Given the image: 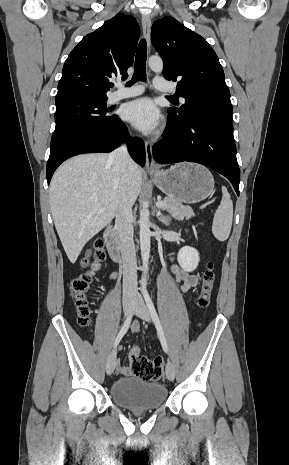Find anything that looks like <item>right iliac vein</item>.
Wrapping results in <instances>:
<instances>
[{
    "label": "right iliac vein",
    "mask_w": 289,
    "mask_h": 465,
    "mask_svg": "<svg viewBox=\"0 0 289 465\" xmlns=\"http://www.w3.org/2000/svg\"><path fill=\"white\" fill-rule=\"evenodd\" d=\"M134 300L133 299H125L123 301V310L125 316H128L133 310ZM116 349H113L110 355L108 356L106 362V371L107 374L111 375L114 372L116 366Z\"/></svg>",
    "instance_id": "63e3f726"
}]
</instances>
